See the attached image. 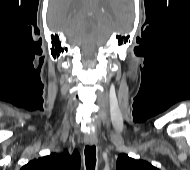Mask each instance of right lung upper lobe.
<instances>
[{
  "label": "right lung upper lobe",
  "mask_w": 190,
  "mask_h": 170,
  "mask_svg": "<svg viewBox=\"0 0 190 170\" xmlns=\"http://www.w3.org/2000/svg\"><path fill=\"white\" fill-rule=\"evenodd\" d=\"M81 165L80 154L74 150L72 154L68 152L58 154L52 153L38 159L30 161L21 170H79Z\"/></svg>",
  "instance_id": "cb5924a9"
}]
</instances>
